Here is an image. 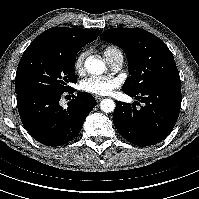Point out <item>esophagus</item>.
Returning a JSON list of instances; mask_svg holds the SVG:
<instances>
[{
	"label": "esophagus",
	"instance_id": "obj_1",
	"mask_svg": "<svg viewBox=\"0 0 199 199\" xmlns=\"http://www.w3.org/2000/svg\"><path fill=\"white\" fill-rule=\"evenodd\" d=\"M95 99H96L97 102H100V101L103 99V97H102V96L96 95V96H95Z\"/></svg>",
	"mask_w": 199,
	"mask_h": 199
}]
</instances>
